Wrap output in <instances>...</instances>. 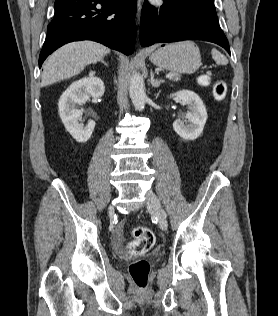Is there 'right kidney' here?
I'll return each instance as SVG.
<instances>
[{
	"instance_id": "right-kidney-1",
	"label": "right kidney",
	"mask_w": 278,
	"mask_h": 316,
	"mask_svg": "<svg viewBox=\"0 0 278 316\" xmlns=\"http://www.w3.org/2000/svg\"><path fill=\"white\" fill-rule=\"evenodd\" d=\"M104 92V82L91 71L88 77L73 82L60 97V118L66 130L77 142L84 143L90 139L95 122L91 120L86 125L79 123L83 111L77 109L76 104L85 103L90 97H101Z\"/></svg>"
}]
</instances>
